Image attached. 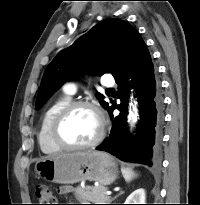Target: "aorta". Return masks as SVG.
Instances as JSON below:
<instances>
[{"label": "aorta", "instance_id": "762f6f07", "mask_svg": "<svg viewBox=\"0 0 200 205\" xmlns=\"http://www.w3.org/2000/svg\"><path fill=\"white\" fill-rule=\"evenodd\" d=\"M136 104H137L136 102H134V105L130 103L128 121L131 123V125L135 124L138 120V110ZM131 106H132V110H131Z\"/></svg>", "mask_w": 200, "mask_h": 205}]
</instances>
